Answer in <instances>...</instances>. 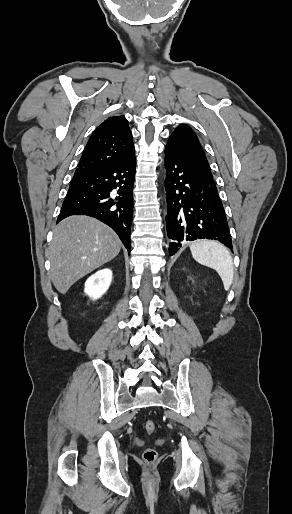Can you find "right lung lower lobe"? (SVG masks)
Returning <instances> with one entry per match:
<instances>
[{
    "label": "right lung lower lobe",
    "mask_w": 292,
    "mask_h": 514,
    "mask_svg": "<svg viewBox=\"0 0 292 514\" xmlns=\"http://www.w3.org/2000/svg\"><path fill=\"white\" fill-rule=\"evenodd\" d=\"M135 154L100 168L77 169L57 222L71 215H88L110 226L124 246L131 247Z\"/></svg>",
    "instance_id": "right-lung-lower-lobe-1"
}]
</instances>
